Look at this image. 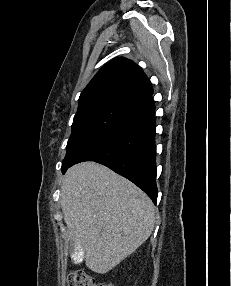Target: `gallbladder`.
I'll list each match as a JSON object with an SVG mask.
<instances>
[{"label":"gallbladder","instance_id":"1","mask_svg":"<svg viewBox=\"0 0 231 286\" xmlns=\"http://www.w3.org/2000/svg\"><path fill=\"white\" fill-rule=\"evenodd\" d=\"M70 242L71 243V246H68L70 247L71 251H70V254L69 255L70 257H72V261L73 263H83V250L82 248L84 247H81V243L79 242H83L81 240H71Z\"/></svg>","mask_w":231,"mask_h":286}]
</instances>
